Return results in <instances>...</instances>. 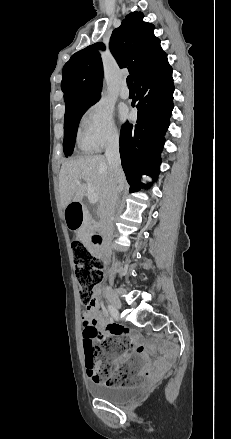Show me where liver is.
<instances>
[{"mask_svg": "<svg viewBox=\"0 0 231 439\" xmlns=\"http://www.w3.org/2000/svg\"><path fill=\"white\" fill-rule=\"evenodd\" d=\"M85 181L98 194L99 202L106 195L111 182V172L106 157L102 155L85 156L64 163L59 173L60 198L65 209L71 202H81L87 191V185L75 181ZM126 185L122 171L118 181V192Z\"/></svg>", "mask_w": 231, "mask_h": 439, "instance_id": "liver-1", "label": "liver"}]
</instances>
